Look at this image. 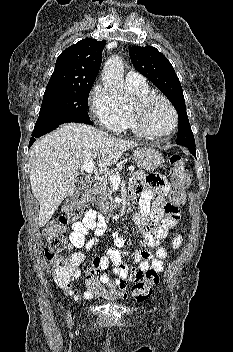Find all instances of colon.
<instances>
[{"mask_svg":"<svg viewBox=\"0 0 233 352\" xmlns=\"http://www.w3.org/2000/svg\"><path fill=\"white\" fill-rule=\"evenodd\" d=\"M172 166L171 181L173 189L169 195L168 204L171 207L182 206L186 201V190L190 185L191 179L186 169L184 158L179 154H172L169 157ZM89 196L85 195L80 199L71 202L59 215L56 222L45 228L43 234L47 240L45 257L51 261L53 274L56 280H67L72 274L73 269L67 259L61 254L69 248V244L63 235L64 226L79 219L85 210ZM101 257H96L92 266L86 271L85 283L87 290L93 297L99 299L116 300L125 298L127 295L124 290L116 287H106L101 279L99 262ZM159 282L158 270L150 269L143 281L137 282L131 289V296L141 302L146 300L152 293V288Z\"/></svg>","mask_w":233,"mask_h":352,"instance_id":"5ec220e1","label":"colon"}]
</instances>
